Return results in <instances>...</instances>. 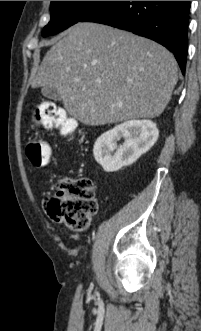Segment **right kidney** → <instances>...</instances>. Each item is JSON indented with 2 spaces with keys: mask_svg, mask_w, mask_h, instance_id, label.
<instances>
[{
  "mask_svg": "<svg viewBox=\"0 0 201 331\" xmlns=\"http://www.w3.org/2000/svg\"><path fill=\"white\" fill-rule=\"evenodd\" d=\"M159 130L151 120H130L103 133L95 142V160L106 172H115L134 163L157 141ZM123 137L122 146L117 141Z\"/></svg>",
  "mask_w": 201,
  "mask_h": 331,
  "instance_id": "obj_1",
  "label": "right kidney"
}]
</instances>
